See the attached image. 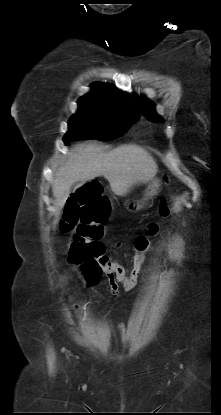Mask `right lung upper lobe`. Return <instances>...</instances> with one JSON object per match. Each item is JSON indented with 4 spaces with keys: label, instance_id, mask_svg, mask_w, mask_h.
Masks as SVG:
<instances>
[{
    "label": "right lung upper lobe",
    "instance_id": "right-lung-upper-lobe-1",
    "mask_svg": "<svg viewBox=\"0 0 221 415\" xmlns=\"http://www.w3.org/2000/svg\"><path fill=\"white\" fill-rule=\"evenodd\" d=\"M78 104H90L106 108H122L140 115L132 97L109 84L94 83L91 92L79 98Z\"/></svg>",
    "mask_w": 221,
    "mask_h": 415
}]
</instances>
